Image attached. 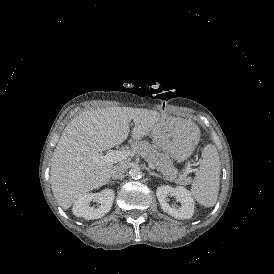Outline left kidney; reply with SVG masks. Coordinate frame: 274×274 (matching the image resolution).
I'll list each match as a JSON object with an SVG mask.
<instances>
[{"label":"left kidney","mask_w":274,"mask_h":274,"mask_svg":"<svg viewBox=\"0 0 274 274\" xmlns=\"http://www.w3.org/2000/svg\"><path fill=\"white\" fill-rule=\"evenodd\" d=\"M156 196L159 200L161 208L167 214L177 219H190L194 214V200L191 197L190 192L182 186L173 188L168 185H163L157 188ZM168 196H173L176 201L181 203V207L168 203Z\"/></svg>","instance_id":"left-kidney-1"}]
</instances>
